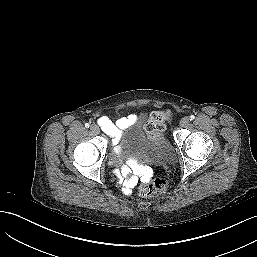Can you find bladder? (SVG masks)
<instances>
[{"instance_id":"bladder-1","label":"bladder","mask_w":257,"mask_h":257,"mask_svg":"<svg viewBox=\"0 0 257 257\" xmlns=\"http://www.w3.org/2000/svg\"><path fill=\"white\" fill-rule=\"evenodd\" d=\"M128 134L136 146L142 148L153 160L161 162L171 157L172 146L169 139L162 133L151 134L148 132L143 117H139L131 123L128 127ZM116 152H121L119 143L116 144Z\"/></svg>"}]
</instances>
